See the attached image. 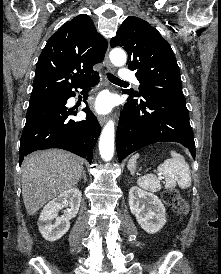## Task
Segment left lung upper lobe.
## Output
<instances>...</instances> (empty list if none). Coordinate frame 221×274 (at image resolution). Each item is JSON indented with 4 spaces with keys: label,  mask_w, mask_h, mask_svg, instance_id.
<instances>
[{
    "label": "left lung upper lobe",
    "mask_w": 221,
    "mask_h": 274,
    "mask_svg": "<svg viewBox=\"0 0 221 274\" xmlns=\"http://www.w3.org/2000/svg\"><path fill=\"white\" fill-rule=\"evenodd\" d=\"M123 47L129 57L128 68L136 70L139 91L124 90L132 97L185 99L180 70L168 42L148 22L127 17L110 41Z\"/></svg>",
    "instance_id": "1"
}]
</instances>
